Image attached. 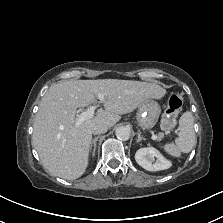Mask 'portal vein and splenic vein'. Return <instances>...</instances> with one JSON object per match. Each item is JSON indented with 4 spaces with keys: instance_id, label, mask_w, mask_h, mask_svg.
I'll list each match as a JSON object with an SVG mask.
<instances>
[{
    "instance_id": "portal-vein-and-splenic-vein-1",
    "label": "portal vein and splenic vein",
    "mask_w": 223,
    "mask_h": 223,
    "mask_svg": "<svg viewBox=\"0 0 223 223\" xmlns=\"http://www.w3.org/2000/svg\"><path fill=\"white\" fill-rule=\"evenodd\" d=\"M98 98L100 99L101 102L104 101V95L103 94H99ZM97 105L94 106H90L86 111L80 113L77 115V119H76V126H80L85 120L90 119L94 116V112L97 109ZM152 139L153 140H157L158 136L155 135L154 133L152 134Z\"/></svg>"
}]
</instances>
